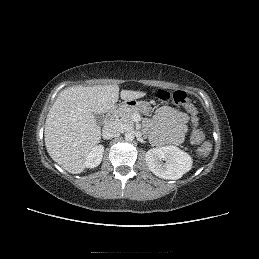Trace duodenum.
<instances>
[{"label": "duodenum", "mask_w": 259, "mask_h": 259, "mask_svg": "<svg viewBox=\"0 0 259 259\" xmlns=\"http://www.w3.org/2000/svg\"><path fill=\"white\" fill-rule=\"evenodd\" d=\"M125 105L124 104H117L115 105L111 110L110 112L106 115V118H105V125H110L114 118H115V115H116V112L118 110H120L121 108H123Z\"/></svg>", "instance_id": "1"}]
</instances>
